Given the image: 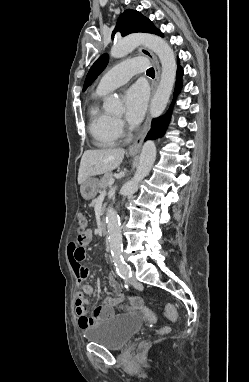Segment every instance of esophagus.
Wrapping results in <instances>:
<instances>
[{
	"mask_svg": "<svg viewBox=\"0 0 249 382\" xmlns=\"http://www.w3.org/2000/svg\"><path fill=\"white\" fill-rule=\"evenodd\" d=\"M138 51L142 55L147 57L151 61L152 65L154 66L155 78H154L152 85H151L152 96H153L156 89H157L159 80H160V74H161L160 64H159L157 57L147 48L139 47ZM150 125H151V117H150V114H148L141 132L139 133V135L137 136L135 141L128 148L129 153H131V154L138 153V151L141 148L144 137L146 136L148 130L150 129Z\"/></svg>",
	"mask_w": 249,
	"mask_h": 382,
	"instance_id": "esophagus-1",
	"label": "esophagus"
}]
</instances>
